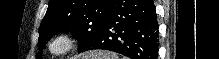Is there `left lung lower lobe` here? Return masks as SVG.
<instances>
[{
    "label": "left lung lower lobe",
    "instance_id": "obj_1",
    "mask_svg": "<svg viewBox=\"0 0 219 59\" xmlns=\"http://www.w3.org/2000/svg\"><path fill=\"white\" fill-rule=\"evenodd\" d=\"M158 28L152 0H114L96 38L78 52L101 49L130 59H157Z\"/></svg>",
    "mask_w": 219,
    "mask_h": 59
}]
</instances>
